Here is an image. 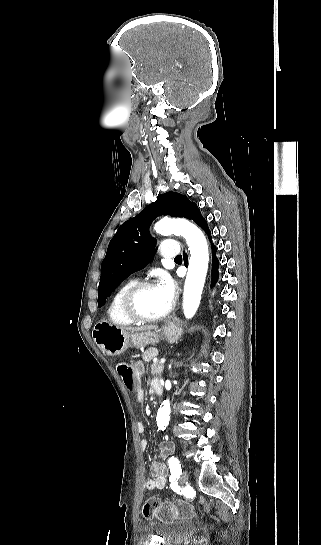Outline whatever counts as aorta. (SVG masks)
<instances>
[{
  "instance_id": "aorta-1",
  "label": "aorta",
  "mask_w": 321,
  "mask_h": 545,
  "mask_svg": "<svg viewBox=\"0 0 321 545\" xmlns=\"http://www.w3.org/2000/svg\"><path fill=\"white\" fill-rule=\"evenodd\" d=\"M154 229L161 235H182L189 246L190 260L184 285L183 311L186 318H192L200 304L201 294L208 270L209 252L203 232L193 223L182 219H161ZM169 400H164L157 413V425L165 430L170 418Z\"/></svg>"
}]
</instances>
